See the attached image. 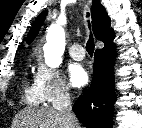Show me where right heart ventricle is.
<instances>
[{"mask_svg": "<svg viewBox=\"0 0 142 128\" xmlns=\"http://www.w3.org/2000/svg\"><path fill=\"white\" fill-rule=\"evenodd\" d=\"M25 100L31 105H37L42 102L39 93L37 91L36 85L27 83L25 86Z\"/></svg>", "mask_w": 142, "mask_h": 128, "instance_id": "obj_1", "label": "right heart ventricle"}]
</instances>
